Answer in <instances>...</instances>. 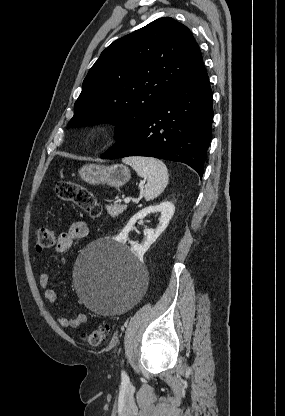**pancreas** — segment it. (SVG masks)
Instances as JSON below:
<instances>
[{
    "label": "pancreas",
    "instance_id": "1",
    "mask_svg": "<svg viewBox=\"0 0 285 416\" xmlns=\"http://www.w3.org/2000/svg\"><path fill=\"white\" fill-rule=\"evenodd\" d=\"M105 208L108 214H110L111 218H117L119 214H123L127 206H121V204H111V206H105Z\"/></svg>",
    "mask_w": 285,
    "mask_h": 416
}]
</instances>
